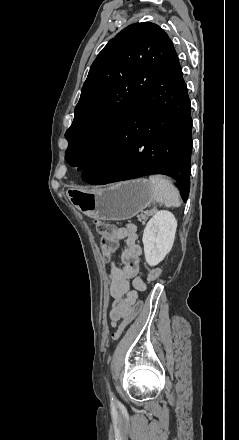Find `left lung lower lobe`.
<instances>
[{
  "instance_id": "obj_1",
  "label": "left lung lower lobe",
  "mask_w": 239,
  "mask_h": 440,
  "mask_svg": "<svg viewBox=\"0 0 239 440\" xmlns=\"http://www.w3.org/2000/svg\"><path fill=\"white\" fill-rule=\"evenodd\" d=\"M176 51L118 125L95 161L83 171L94 185L164 174L174 178L187 200L190 190L192 118Z\"/></svg>"
}]
</instances>
